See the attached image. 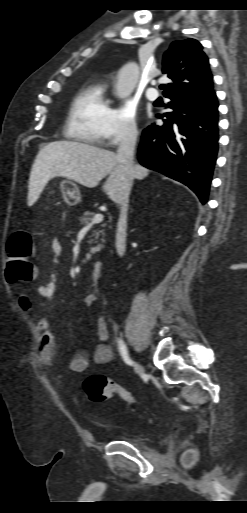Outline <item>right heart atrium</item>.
Listing matches in <instances>:
<instances>
[{"label": "right heart atrium", "mask_w": 247, "mask_h": 513, "mask_svg": "<svg viewBox=\"0 0 247 513\" xmlns=\"http://www.w3.org/2000/svg\"><path fill=\"white\" fill-rule=\"evenodd\" d=\"M137 121L135 106L131 101H124L111 108L108 115L103 143L114 147L121 143L130 142L137 136Z\"/></svg>", "instance_id": "d8ad5b80"}]
</instances>
